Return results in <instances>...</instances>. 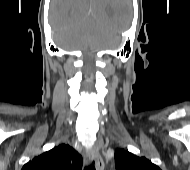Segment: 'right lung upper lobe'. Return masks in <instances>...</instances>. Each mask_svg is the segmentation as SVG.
I'll list each match as a JSON object with an SVG mask.
<instances>
[{
	"label": "right lung upper lobe",
	"mask_w": 190,
	"mask_h": 170,
	"mask_svg": "<svg viewBox=\"0 0 190 170\" xmlns=\"http://www.w3.org/2000/svg\"><path fill=\"white\" fill-rule=\"evenodd\" d=\"M82 157L72 147L61 144L26 163L22 170H81Z\"/></svg>",
	"instance_id": "right-lung-upper-lobe-1"
}]
</instances>
